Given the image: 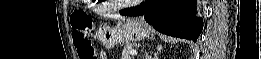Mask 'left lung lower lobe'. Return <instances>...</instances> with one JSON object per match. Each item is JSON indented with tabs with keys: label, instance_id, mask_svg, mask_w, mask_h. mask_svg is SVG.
Listing matches in <instances>:
<instances>
[{
	"label": "left lung lower lobe",
	"instance_id": "left-lung-lower-lobe-1",
	"mask_svg": "<svg viewBox=\"0 0 261 59\" xmlns=\"http://www.w3.org/2000/svg\"><path fill=\"white\" fill-rule=\"evenodd\" d=\"M196 0H147L145 3L124 9L120 14L140 16L157 31L183 39L197 41L202 27L201 18H194Z\"/></svg>",
	"mask_w": 261,
	"mask_h": 59
}]
</instances>
